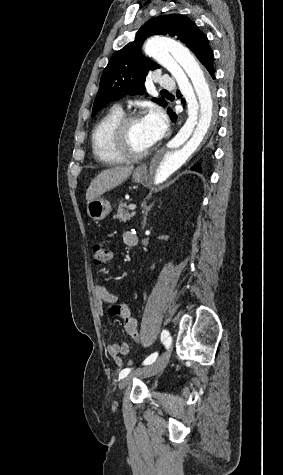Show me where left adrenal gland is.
<instances>
[{
  "instance_id": "a2214340",
  "label": "left adrenal gland",
  "mask_w": 283,
  "mask_h": 475,
  "mask_svg": "<svg viewBox=\"0 0 283 475\" xmlns=\"http://www.w3.org/2000/svg\"><path fill=\"white\" fill-rule=\"evenodd\" d=\"M152 206H154V202H153V204H150V206H147V202H143V204H142V206H141V208H143L142 214H144V216H143V222H142V224H143V226H142L143 230H144V228H145V226H146L147 214H148L149 210H151Z\"/></svg>"
}]
</instances>
